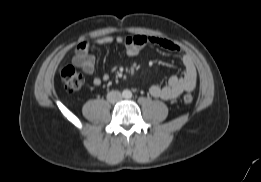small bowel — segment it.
Here are the masks:
<instances>
[{"label":"small bowel","mask_w":261,"mask_h":182,"mask_svg":"<svg viewBox=\"0 0 261 182\" xmlns=\"http://www.w3.org/2000/svg\"><path fill=\"white\" fill-rule=\"evenodd\" d=\"M111 44L123 45L126 54L130 57L138 55V53L147 46H157L168 52L181 55L183 74L181 76H170L165 85H152L149 89L151 96L164 100H172L183 92L192 91L196 87L197 71L192 56L175 42L162 37H150L145 35H134L125 38L104 36L97 38L92 44L81 42L76 47L73 64L84 73L88 75L92 74L95 71L96 60L90 52L97 50L100 46ZM109 78L110 75L107 73L102 76H95L93 78V85L100 86L103 82L108 81Z\"/></svg>","instance_id":"1"}]
</instances>
